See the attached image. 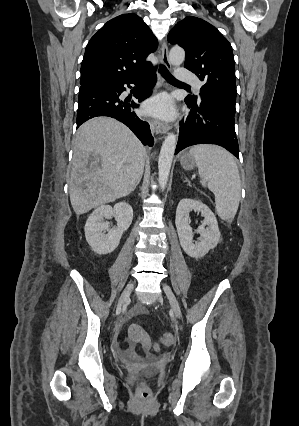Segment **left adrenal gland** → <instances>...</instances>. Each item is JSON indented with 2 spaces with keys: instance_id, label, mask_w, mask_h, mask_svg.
Masks as SVG:
<instances>
[{
  "instance_id": "obj_1",
  "label": "left adrenal gland",
  "mask_w": 299,
  "mask_h": 426,
  "mask_svg": "<svg viewBox=\"0 0 299 426\" xmlns=\"http://www.w3.org/2000/svg\"><path fill=\"white\" fill-rule=\"evenodd\" d=\"M185 182H188L189 183V181H188V179L185 177Z\"/></svg>"
}]
</instances>
